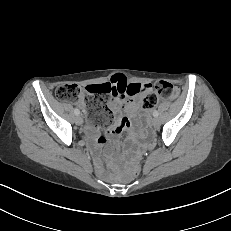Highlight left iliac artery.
Returning a JSON list of instances; mask_svg holds the SVG:
<instances>
[{
  "mask_svg": "<svg viewBox=\"0 0 231 231\" xmlns=\"http://www.w3.org/2000/svg\"><path fill=\"white\" fill-rule=\"evenodd\" d=\"M158 115H159V112H158V111H154V112H153V116H154V117H157Z\"/></svg>",
  "mask_w": 231,
  "mask_h": 231,
  "instance_id": "left-iliac-artery-1",
  "label": "left iliac artery"
}]
</instances>
